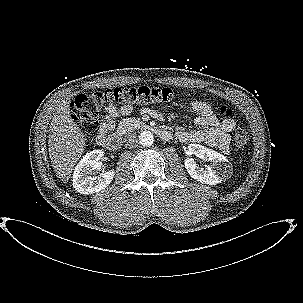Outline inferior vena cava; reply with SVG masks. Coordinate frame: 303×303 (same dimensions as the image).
<instances>
[{
	"label": "inferior vena cava",
	"mask_w": 303,
	"mask_h": 303,
	"mask_svg": "<svg viewBox=\"0 0 303 303\" xmlns=\"http://www.w3.org/2000/svg\"><path fill=\"white\" fill-rule=\"evenodd\" d=\"M124 142H125V145L126 146H129V147H134L138 140H137V135L134 134V133H128L125 135V138H124Z\"/></svg>",
	"instance_id": "obj_1"
}]
</instances>
